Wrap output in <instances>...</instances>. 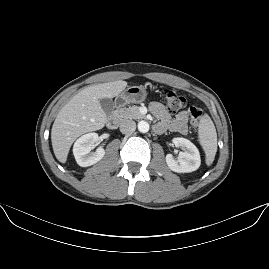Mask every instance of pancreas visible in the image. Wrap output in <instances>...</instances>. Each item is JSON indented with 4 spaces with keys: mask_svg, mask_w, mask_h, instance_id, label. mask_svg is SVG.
<instances>
[{
    "mask_svg": "<svg viewBox=\"0 0 269 269\" xmlns=\"http://www.w3.org/2000/svg\"><path fill=\"white\" fill-rule=\"evenodd\" d=\"M114 115L120 120L126 119H140L143 117L138 106H131L129 108H120L114 111Z\"/></svg>",
    "mask_w": 269,
    "mask_h": 269,
    "instance_id": "obj_1",
    "label": "pancreas"
}]
</instances>
